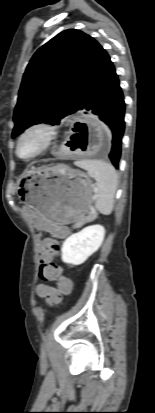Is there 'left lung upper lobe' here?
<instances>
[{
    "mask_svg": "<svg viewBox=\"0 0 155 413\" xmlns=\"http://www.w3.org/2000/svg\"><path fill=\"white\" fill-rule=\"evenodd\" d=\"M108 54L91 36L65 30L39 48L23 76L12 138L38 123L59 124L79 110Z\"/></svg>",
    "mask_w": 155,
    "mask_h": 413,
    "instance_id": "left-lung-upper-lobe-1",
    "label": "left lung upper lobe"
}]
</instances>
